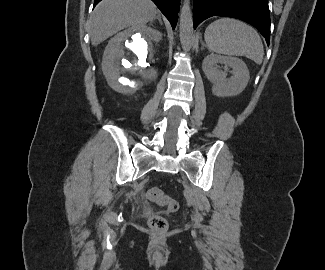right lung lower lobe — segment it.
I'll list each match as a JSON object with an SVG mask.
<instances>
[{
  "mask_svg": "<svg viewBox=\"0 0 325 270\" xmlns=\"http://www.w3.org/2000/svg\"><path fill=\"white\" fill-rule=\"evenodd\" d=\"M101 0H94V6ZM175 28L178 20L180 0H152Z\"/></svg>",
  "mask_w": 325,
  "mask_h": 270,
  "instance_id": "obj_1",
  "label": "right lung lower lobe"
}]
</instances>
